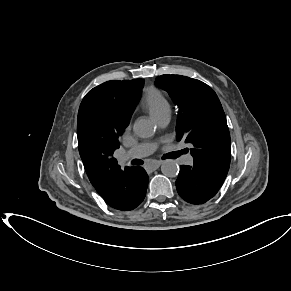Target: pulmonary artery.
Here are the masks:
<instances>
[{
    "label": "pulmonary artery",
    "mask_w": 291,
    "mask_h": 291,
    "mask_svg": "<svg viewBox=\"0 0 291 291\" xmlns=\"http://www.w3.org/2000/svg\"><path fill=\"white\" fill-rule=\"evenodd\" d=\"M154 119L159 126L164 127L170 121V112H166L159 116H156ZM155 148L156 146L151 143H142L136 145L128 150L126 153H124L123 160L126 161L130 159H139L146 157L154 152ZM184 163L187 165H191L193 163V156L191 154L186 155L184 158Z\"/></svg>",
    "instance_id": "pulmonary-artery-1"
}]
</instances>
